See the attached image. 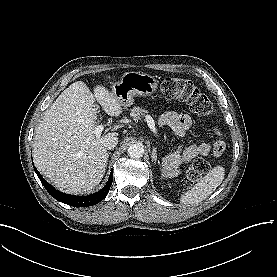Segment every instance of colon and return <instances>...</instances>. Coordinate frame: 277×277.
<instances>
[{
	"instance_id": "obj_1",
	"label": "colon",
	"mask_w": 277,
	"mask_h": 277,
	"mask_svg": "<svg viewBox=\"0 0 277 277\" xmlns=\"http://www.w3.org/2000/svg\"><path fill=\"white\" fill-rule=\"evenodd\" d=\"M160 90L167 99L179 98L186 101L200 117H211L215 114V107L211 100L186 78L167 77L161 82ZM209 170L210 164L207 161L196 160L183 179L184 188H189L198 182Z\"/></svg>"
}]
</instances>
